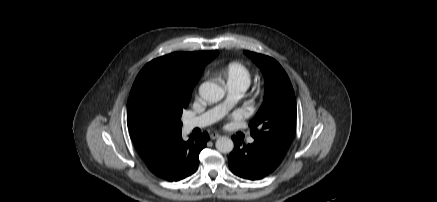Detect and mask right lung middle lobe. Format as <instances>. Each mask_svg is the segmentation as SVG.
I'll return each mask as SVG.
<instances>
[{"label":"right lung middle lobe","instance_id":"dd1d6c3e","mask_svg":"<svg viewBox=\"0 0 437 202\" xmlns=\"http://www.w3.org/2000/svg\"><path fill=\"white\" fill-rule=\"evenodd\" d=\"M182 96L176 83L173 65L162 59L146 64L132 86L127 121L143 128H182L180 118L187 108L192 86Z\"/></svg>","mask_w":437,"mask_h":202}]
</instances>
